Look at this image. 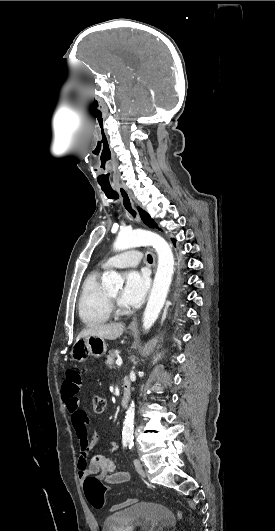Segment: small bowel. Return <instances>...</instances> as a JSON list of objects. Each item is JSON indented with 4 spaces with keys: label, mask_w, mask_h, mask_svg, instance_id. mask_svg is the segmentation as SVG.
<instances>
[{
    "label": "small bowel",
    "mask_w": 275,
    "mask_h": 531,
    "mask_svg": "<svg viewBox=\"0 0 275 531\" xmlns=\"http://www.w3.org/2000/svg\"><path fill=\"white\" fill-rule=\"evenodd\" d=\"M67 381L62 386V397L66 407L70 413V420L72 428L79 438L81 451L77 457V475L80 480H84V473L86 471H95L100 479L106 483L124 484L129 481L130 476L125 471H118L116 469L115 461L102 454H94L89 460V455L99 442L102 441V436L99 432H94L91 439H87L89 419L85 410L79 405L77 394L81 391L79 371L75 367H68L64 371ZM85 440V443H82ZM110 452L117 450V444L113 441L107 442ZM133 501L128 500L117 503L111 507V511L122 510Z\"/></svg>",
    "instance_id": "small-bowel-1"
}]
</instances>
